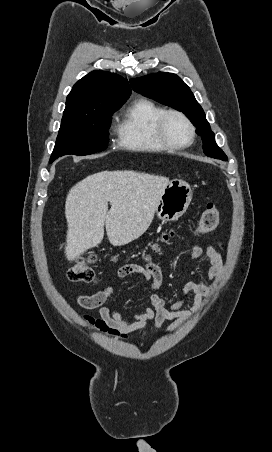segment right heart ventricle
Listing matches in <instances>:
<instances>
[{"instance_id":"right-heart-ventricle-1","label":"right heart ventricle","mask_w":272,"mask_h":452,"mask_svg":"<svg viewBox=\"0 0 272 452\" xmlns=\"http://www.w3.org/2000/svg\"><path fill=\"white\" fill-rule=\"evenodd\" d=\"M165 109L147 98L136 100L124 113L117 127L121 147L136 152L168 150L156 134V122Z\"/></svg>"}]
</instances>
